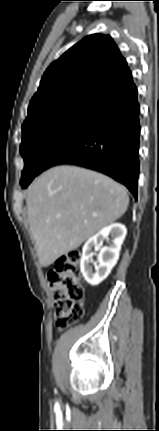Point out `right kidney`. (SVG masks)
Masks as SVG:
<instances>
[{
  "instance_id": "ca27d5eb",
  "label": "right kidney",
  "mask_w": 159,
  "mask_h": 431,
  "mask_svg": "<svg viewBox=\"0 0 159 431\" xmlns=\"http://www.w3.org/2000/svg\"><path fill=\"white\" fill-rule=\"evenodd\" d=\"M126 234L125 226L115 223L103 228L85 243L80 268L83 277L90 285H99L110 274L119 259V252ZM103 242H107L108 245L102 246ZM96 251H99L98 266L93 271L91 263Z\"/></svg>"
}]
</instances>
